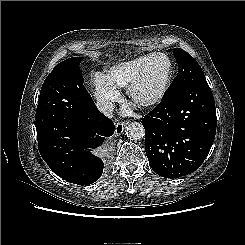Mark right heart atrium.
Returning a JSON list of instances; mask_svg holds the SVG:
<instances>
[{"instance_id": "obj_1", "label": "right heart atrium", "mask_w": 245, "mask_h": 245, "mask_svg": "<svg viewBox=\"0 0 245 245\" xmlns=\"http://www.w3.org/2000/svg\"><path fill=\"white\" fill-rule=\"evenodd\" d=\"M94 86H95V95L101 106L109 110L112 108L113 103L119 99V92L111 85L107 79L97 73L94 75Z\"/></svg>"}]
</instances>
